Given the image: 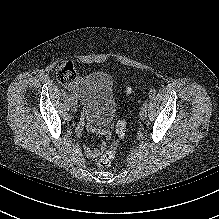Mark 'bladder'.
Masks as SVG:
<instances>
[{
    "label": "bladder",
    "instance_id": "31cf9c89",
    "mask_svg": "<svg viewBox=\"0 0 219 219\" xmlns=\"http://www.w3.org/2000/svg\"><path fill=\"white\" fill-rule=\"evenodd\" d=\"M79 96L86 116L95 123L107 124L118 112L110 77L100 71L85 75L79 85Z\"/></svg>",
    "mask_w": 219,
    "mask_h": 219
}]
</instances>
